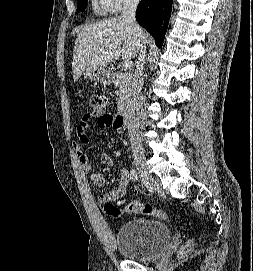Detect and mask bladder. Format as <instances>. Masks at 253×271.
<instances>
[{
	"label": "bladder",
	"instance_id": "obj_1",
	"mask_svg": "<svg viewBox=\"0 0 253 271\" xmlns=\"http://www.w3.org/2000/svg\"><path fill=\"white\" fill-rule=\"evenodd\" d=\"M171 241L166 224L151 219H134L121 225L115 236L119 253L127 260L148 261L161 255Z\"/></svg>",
	"mask_w": 253,
	"mask_h": 271
}]
</instances>
